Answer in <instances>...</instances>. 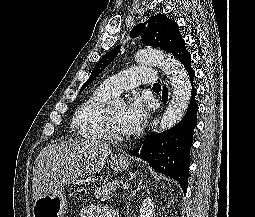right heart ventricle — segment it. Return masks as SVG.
Here are the masks:
<instances>
[{"instance_id":"obj_1","label":"right heart ventricle","mask_w":255,"mask_h":217,"mask_svg":"<svg viewBox=\"0 0 255 217\" xmlns=\"http://www.w3.org/2000/svg\"><path fill=\"white\" fill-rule=\"evenodd\" d=\"M113 97L102 85L79 105L72 119V127L77 134L87 140H107L103 116L107 103Z\"/></svg>"}]
</instances>
